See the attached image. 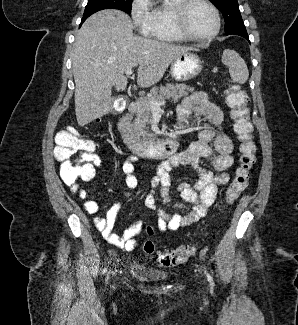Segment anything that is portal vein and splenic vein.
I'll return each mask as SVG.
<instances>
[{"instance_id": "18ae733b", "label": "portal vein and splenic vein", "mask_w": 298, "mask_h": 325, "mask_svg": "<svg viewBox=\"0 0 298 325\" xmlns=\"http://www.w3.org/2000/svg\"><path fill=\"white\" fill-rule=\"evenodd\" d=\"M125 74H133L132 68L126 70ZM166 100H154V98H149V104L151 106L152 112H162L161 104H165Z\"/></svg>"}]
</instances>
